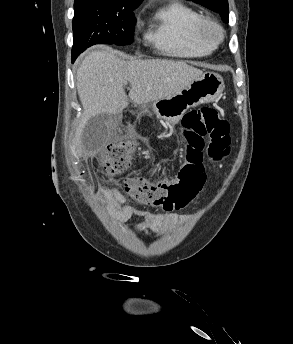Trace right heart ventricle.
Segmentation results:
<instances>
[{"mask_svg": "<svg viewBox=\"0 0 293 344\" xmlns=\"http://www.w3.org/2000/svg\"><path fill=\"white\" fill-rule=\"evenodd\" d=\"M201 14L187 4L174 1L159 7L144 33L145 40L166 56L200 58L215 48L198 38Z\"/></svg>", "mask_w": 293, "mask_h": 344, "instance_id": "e07e8e85", "label": "right heart ventricle"}]
</instances>
